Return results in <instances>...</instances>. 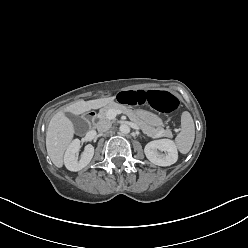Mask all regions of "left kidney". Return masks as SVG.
Returning <instances> with one entry per match:
<instances>
[{"instance_id": "left-kidney-1", "label": "left kidney", "mask_w": 248, "mask_h": 248, "mask_svg": "<svg viewBox=\"0 0 248 248\" xmlns=\"http://www.w3.org/2000/svg\"><path fill=\"white\" fill-rule=\"evenodd\" d=\"M144 152L147 159L158 166H170L178 159L176 145L170 139L151 141L145 146Z\"/></svg>"}]
</instances>
